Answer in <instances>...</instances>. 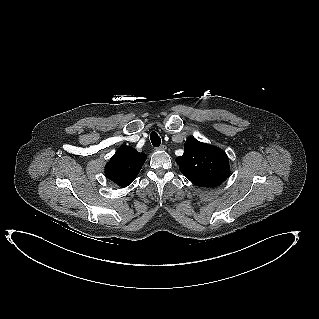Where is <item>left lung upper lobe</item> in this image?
Here are the masks:
<instances>
[{
    "label": "left lung upper lobe",
    "instance_id": "obj_1",
    "mask_svg": "<svg viewBox=\"0 0 319 319\" xmlns=\"http://www.w3.org/2000/svg\"><path fill=\"white\" fill-rule=\"evenodd\" d=\"M176 163L182 174L194 185L216 187L229 176L230 169L226 153L215 146L189 137L184 145V154Z\"/></svg>",
    "mask_w": 319,
    "mask_h": 319
}]
</instances>
